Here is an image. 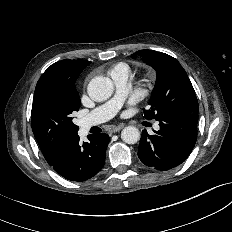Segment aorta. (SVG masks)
I'll use <instances>...</instances> for the list:
<instances>
[{
  "label": "aorta",
  "mask_w": 232,
  "mask_h": 232,
  "mask_svg": "<svg viewBox=\"0 0 232 232\" xmlns=\"http://www.w3.org/2000/svg\"><path fill=\"white\" fill-rule=\"evenodd\" d=\"M113 90L112 80L103 76L93 78L87 87L88 95L97 102L107 100L111 97ZM121 138L127 144H135L140 138V132L134 126H127L122 130Z\"/></svg>",
  "instance_id": "1"
}]
</instances>
